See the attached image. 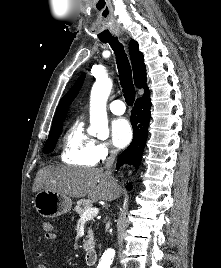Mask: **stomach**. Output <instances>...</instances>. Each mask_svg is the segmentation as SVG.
Instances as JSON below:
<instances>
[{
  "mask_svg": "<svg viewBox=\"0 0 221 268\" xmlns=\"http://www.w3.org/2000/svg\"><path fill=\"white\" fill-rule=\"evenodd\" d=\"M34 207L41 216L55 218L71 210L72 200L66 195L41 190L35 195Z\"/></svg>",
  "mask_w": 221,
  "mask_h": 268,
  "instance_id": "stomach-1",
  "label": "stomach"
}]
</instances>
